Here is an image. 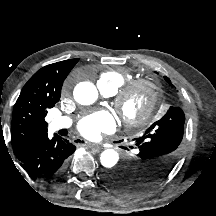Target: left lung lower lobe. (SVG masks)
<instances>
[{"instance_id":"left-lung-lower-lobe-1","label":"left lung lower lobe","mask_w":216,"mask_h":216,"mask_svg":"<svg viewBox=\"0 0 216 216\" xmlns=\"http://www.w3.org/2000/svg\"><path fill=\"white\" fill-rule=\"evenodd\" d=\"M124 165H125V162L122 164V166H121V168H120L119 170H117V171H115V172H108V173L104 176L103 180H104V182H105L110 188L113 189V187L108 183L109 180H111V179H113V178H115V177L121 175L122 173H124V172H125V168H123ZM113 190H114V189H113ZM114 191H116V190H114ZM116 192H117V191H116ZM117 193H118V192H117ZM119 194H120V193H119Z\"/></svg>"}]
</instances>
